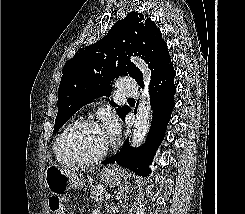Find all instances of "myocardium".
Wrapping results in <instances>:
<instances>
[{
    "label": "myocardium",
    "instance_id": "obj_1",
    "mask_svg": "<svg viewBox=\"0 0 245 214\" xmlns=\"http://www.w3.org/2000/svg\"><path fill=\"white\" fill-rule=\"evenodd\" d=\"M85 126H95V127H100V125L92 120V119H82L76 121L74 124H72L61 136L59 143H58V152L60 157L70 163V164H75V165H90V164H95L99 163L102 160L106 158V156L111 152L112 150V144L110 145L99 155L95 157H77L72 154H70L67 149H66V144L70 136L77 131L78 129L85 127Z\"/></svg>",
    "mask_w": 245,
    "mask_h": 214
}]
</instances>
